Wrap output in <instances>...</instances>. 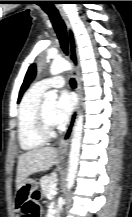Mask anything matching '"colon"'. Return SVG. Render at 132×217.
Listing matches in <instances>:
<instances>
[{
    "label": "colon",
    "instance_id": "5ec220e1",
    "mask_svg": "<svg viewBox=\"0 0 132 217\" xmlns=\"http://www.w3.org/2000/svg\"><path fill=\"white\" fill-rule=\"evenodd\" d=\"M25 211L30 217H39L40 205L38 193L35 192L26 199Z\"/></svg>",
    "mask_w": 132,
    "mask_h": 217
}]
</instances>
